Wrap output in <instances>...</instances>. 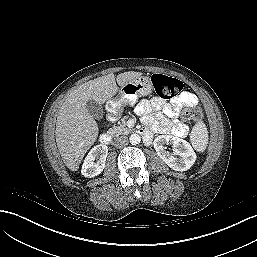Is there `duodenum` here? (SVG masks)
<instances>
[{
	"label": "duodenum",
	"instance_id": "duodenum-1",
	"mask_svg": "<svg viewBox=\"0 0 257 257\" xmlns=\"http://www.w3.org/2000/svg\"><path fill=\"white\" fill-rule=\"evenodd\" d=\"M112 118H114L113 116H111ZM139 133L145 138L147 139L149 137L148 133L146 130H140ZM100 143L102 145H109L111 143V136L108 133H104L100 136Z\"/></svg>",
	"mask_w": 257,
	"mask_h": 257
}]
</instances>
